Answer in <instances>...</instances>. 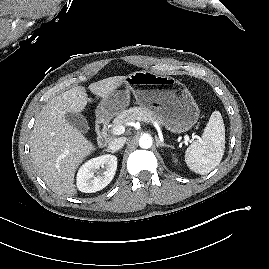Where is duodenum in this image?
<instances>
[{
	"label": "duodenum",
	"instance_id": "410a0bca",
	"mask_svg": "<svg viewBox=\"0 0 269 269\" xmlns=\"http://www.w3.org/2000/svg\"><path fill=\"white\" fill-rule=\"evenodd\" d=\"M96 133L98 146L105 147L109 142L108 123L105 119L101 118L97 121Z\"/></svg>",
	"mask_w": 269,
	"mask_h": 269
}]
</instances>
